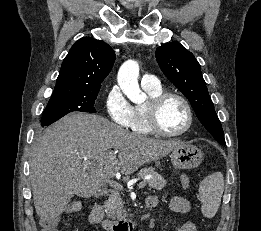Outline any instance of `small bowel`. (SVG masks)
Segmentation results:
<instances>
[{"instance_id":"c3829d8e","label":"small bowel","mask_w":261,"mask_h":231,"mask_svg":"<svg viewBox=\"0 0 261 231\" xmlns=\"http://www.w3.org/2000/svg\"><path fill=\"white\" fill-rule=\"evenodd\" d=\"M182 187L187 189L189 187V179L186 175H181ZM159 203V199L155 195H150L146 199V204L150 207H155ZM169 207L178 213L187 214L190 212L191 206L188 200L180 196H175L170 200ZM178 231H197L195 224L192 221H186Z\"/></svg>"}]
</instances>
